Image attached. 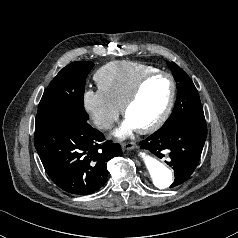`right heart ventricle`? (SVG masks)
<instances>
[{
  "mask_svg": "<svg viewBox=\"0 0 238 238\" xmlns=\"http://www.w3.org/2000/svg\"><path fill=\"white\" fill-rule=\"evenodd\" d=\"M154 71H157L155 67L144 63L112 61L96 71L94 80L105 97L121 108L138 80Z\"/></svg>",
  "mask_w": 238,
  "mask_h": 238,
  "instance_id": "obj_1",
  "label": "right heart ventricle"
}]
</instances>
